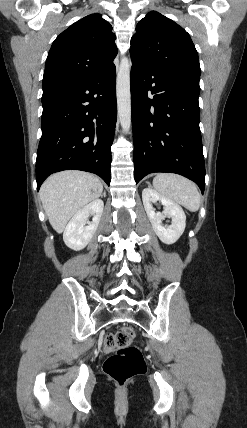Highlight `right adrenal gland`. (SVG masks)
<instances>
[{
	"label": "right adrenal gland",
	"instance_id": "2a0ac1e0",
	"mask_svg": "<svg viewBox=\"0 0 247 428\" xmlns=\"http://www.w3.org/2000/svg\"><path fill=\"white\" fill-rule=\"evenodd\" d=\"M103 195H104V197L106 196V192L105 191H104Z\"/></svg>",
	"mask_w": 247,
	"mask_h": 428
}]
</instances>
